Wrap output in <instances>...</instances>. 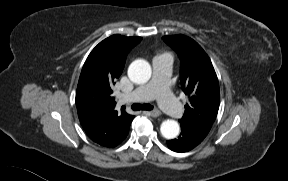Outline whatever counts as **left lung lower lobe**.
I'll use <instances>...</instances> for the list:
<instances>
[{
	"mask_svg": "<svg viewBox=\"0 0 288 181\" xmlns=\"http://www.w3.org/2000/svg\"><path fill=\"white\" fill-rule=\"evenodd\" d=\"M181 134L177 139L167 141L168 147L175 152H187L192 150L207 136L210 129L194 124L182 123Z\"/></svg>",
	"mask_w": 288,
	"mask_h": 181,
	"instance_id": "1",
	"label": "left lung lower lobe"
}]
</instances>
